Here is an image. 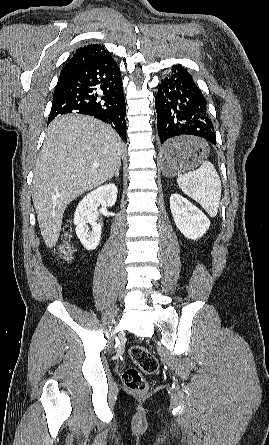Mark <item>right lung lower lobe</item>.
Masks as SVG:
<instances>
[{
	"label": "right lung lower lobe",
	"instance_id": "obj_1",
	"mask_svg": "<svg viewBox=\"0 0 269 445\" xmlns=\"http://www.w3.org/2000/svg\"><path fill=\"white\" fill-rule=\"evenodd\" d=\"M66 113L94 116L110 124L127 142L122 79L111 56L89 63L57 83L48 124Z\"/></svg>",
	"mask_w": 269,
	"mask_h": 445
}]
</instances>
